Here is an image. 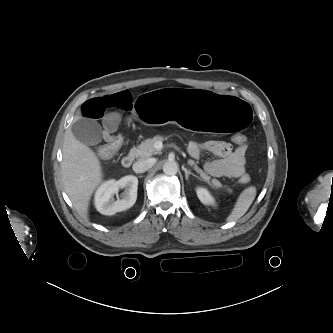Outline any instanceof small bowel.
Segmentation results:
<instances>
[{"label":"small bowel","mask_w":333,"mask_h":333,"mask_svg":"<svg viewBox=\"0 0 333 333\" xmlns=\"http://www.w3.org/2000/svg\"><path fill=\"white\" fill-rule=\"evenodd\" d=\"M132 96L127 91L95 97L84 102L80 108L81 114L88 119H103L112 123L115 115L110 110H131ZM191 157L197 159L203 151L215 155V160L204 164L205 171L214 177L236 178L245 172L247 144L232 148L223 141H208L205 143L190 142L187 147Z\"/></svg>","instance_id":"c3829d8e"}]
</instances>
